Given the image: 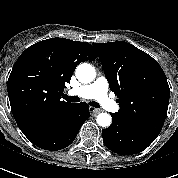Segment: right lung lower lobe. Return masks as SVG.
<instances>
[{
  "label": "right lung lower lobe",
  "instance_id": "right-lung-lower-lobe-1",
  "mask_svg": "<svg viewBox=\"0 0 178 178\" xmlns=\"http://www.w3.org/2000/svg\"><path fill=\"white\" fill-rule=\"evenodd\" d=\"M90 117L85 102L75 104L64 117L42 123L23 134L36 146L57 151L69 146L76 138L82 124Z\"/></svg>",
  "mask_w": 178,
  "mask_h": 178
}]
</instances>
